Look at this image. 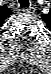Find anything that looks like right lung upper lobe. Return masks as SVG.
Wrapping results in <instances>:
<instances>
[{
    "instance_id": "1",
    "label": "right lung upper lobe",
    "mask_w": 51,
    "mask_h": 74,
    "mask_svg": "<svg viewBox=\"0 0 51 74\" xmlns=\"http://www.w3.org/2000/svg\"><path fill=\"white\" fill-rule=\"evenodd\" d=\"M3 14L4 17L2 18V22L4 21L5 18H7L10 14H12L11 10H9L8 8L5 9V7L3 8Z\"/></svg>"
}]
</instances>
